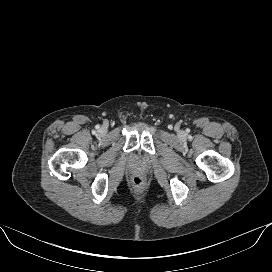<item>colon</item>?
Segmentation results:
<instances>
[{
  "instance_id": "5ec220e1",
  "label": "colon",
  "mask_w": 272,
  "mask_h": 272,
  "mask_svg": "<svg viewBox=\"0 0 272 272\" xmlns=\"http://www.w3.org/2000/svg\"><path fill=\"white\" fill-rule=\"evenodd\" d=\"M132 183L135 187L140 188L144 185V179L141 176H135L132 178Z\"/></svg>"
}]
</instances>
